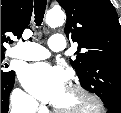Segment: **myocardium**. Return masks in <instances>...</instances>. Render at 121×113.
Listing matches in <instances>:
<instances>
[{"label": "myocardium", "mask_w": 121, "mask_h": 113, "mask_svg": "<svg viewBox=\"0 0 121 113\" xmlns=\"http://www.w3.org/2000/svg\"><path fill=\"white\" fill-rule=\"evenodd\" d=\"M68 89L74 93L79 94L82 98H84L86 101L90 104V112H82V113H97V111L103 110V103L99 99L98 96L90 92L88 89L83 87L82 85L78 84H72L68 87ZM58 113H76L77 110H70V111H63L58 109L57 107L54 108Z\"/></svg>", "instance_id": "obj_1"}]
</instances>
